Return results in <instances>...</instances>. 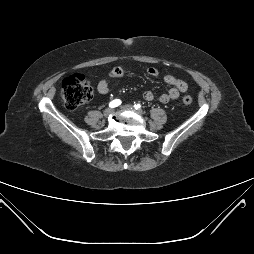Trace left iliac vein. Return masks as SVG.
<instances>
[{"instance_id":"left-iliac-vein-1","label":"left iliac vein","mask_w":254,"mask_h":254,"mask_svg":"<svg viewBox=\"0 0 254 254\" xmlns=\"http://www.w3.org/2000/svg\"><path fill=\"white\" fill-rule=\"evenodd\" d=\"M122 108L125 109V110H128V111H134L137 114L142 115V112L138 111V110H135L132 105H124Z\"/></svg>"}]
</instances>
